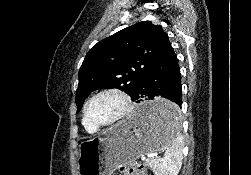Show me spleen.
Returning <instances> with one entry per match:
<instances>
[{"instance_id": "obj_1", "label": "spleen", "mask_w": 251, "mask_h": 175, "mask_svg": "<svg viewBox=\"0 0 251 175\" xmlns=\"http://www.w3.org/2000/svg\"><path fill=\"white\" fill-rule=\"evenodd\" d=\"M170 119H174L172 125L173 129V141L172 147L168 149L165 153V157H160V159H154L151 161V167L155 175H177L182 161V135L179 133L180 129V117L179 111L177 109H170L169 111Z\"/></svg>"}]
</instances>
